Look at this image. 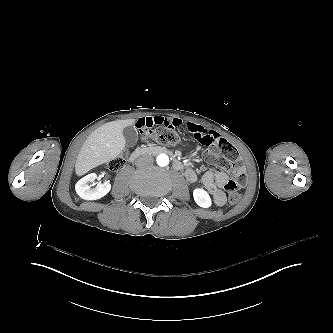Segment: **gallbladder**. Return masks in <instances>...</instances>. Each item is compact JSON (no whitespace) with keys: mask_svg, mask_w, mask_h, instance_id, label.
<instances>
[{"mask_svg":"<svg viewBox=\"0 0 333 333\" xmlns=\"http://www.w3.org/2000/svg\"><path fill=\"white\" fill-rule=\"evenodd\" d=\"M123 135L128 147H133L138 141V132L134 126H129L123 129Z\"/></svg>","mask_w":333,"mask_h":333,"instance_id":"bac80fb5","label":"gallbladder"}]
</instances>
